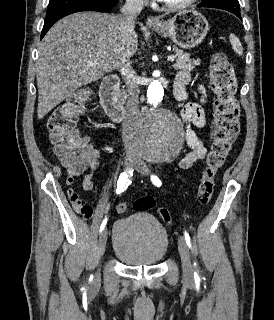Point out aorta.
Returning <instances> with one entry per match:
<instances>
[{
  "label": "aorta",
  "mask_w": 274,
  "mask_h": 320,
  "mask_svg": "<svg viewBox=\"0 0 274 320\" xmlns=\"http://www.w3.org/2000/svg\"><path fill=\"white\" fill-rule=\"evenodd\" d=\"M165 92L159 80L147 89L148 108L134 124V139L139 152L148 160H167L180 148L184 134L180 119L165 105Z\"/></svg>",
  "instance_id": "1"
}]
</instances>
